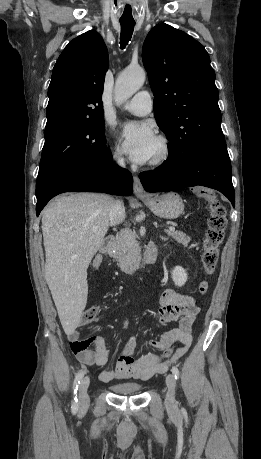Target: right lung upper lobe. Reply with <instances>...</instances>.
Wrapping results in <instances>:
<instances>
[{"instance_id":"obj_1","label":"right lung upper lobe","mask_w":261,"mask_h":459,"mask_svg":"<svg viewBox=\"0 0 261 459\" xmlns=\"http://www.w3.org/2000/svg\"><path fill=\"white\" fill-rule=\"evenodd\" d=\"M107 69L108 52L99 33L91 30L73 39L53 69L45 130L103 120Z\"/></svg>"}]
</instances>
